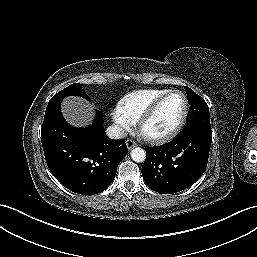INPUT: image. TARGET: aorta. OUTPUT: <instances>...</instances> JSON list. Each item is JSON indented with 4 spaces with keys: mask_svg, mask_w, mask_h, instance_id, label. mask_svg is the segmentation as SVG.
<instances>
[{
    "mask_svg": "<svg viewBox=\"0 0 257 257\" xmlns=\"http://www.w3.org/2000/svg\"><path fill=\"white\" fill-rule=\"evenodd\" d=\"M131 158L135 162H143L146 159V153L142 148L136 147L131 151Z\"/></svg>",
    "mask_w": 257,
    "mask_h": 257,
    "instance_id": "762f6f07",
    "label": "aorta"
}]
</instances>
